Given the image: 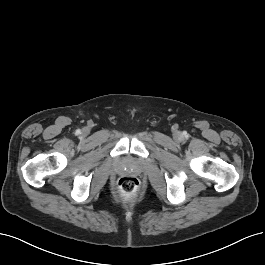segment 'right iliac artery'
<instances>
[{
  "label": "right iliac artery",
  "mask_w": 265,
  "mask_h": 265,
  "mask_svg": "<svg viewBox=\"0 0 265 265\" xmlns=\"http://www.w3.org/2000/svg\"><path fill=\"white\" fill-rule=\"evenodd\" d=\"M79 133H80V130H77V131H76V134H79Z\"/></svg>",
  "instance_id": "right-iliac-artery-1"
}]
</instances>
